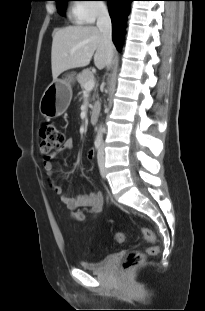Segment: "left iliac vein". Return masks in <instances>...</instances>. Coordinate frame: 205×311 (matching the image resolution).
<instances>
[{"mask_svg": "<svg viewBox=\"0 0 205 311\" xmlns=\"http://www.w3.org/2000/svg\"><path fill=\"white\" fill-rule=\"evenodd\" d=\"M98 166H99L101 175L104 176L105 175V153H104L103 144H101L100 150L98 153Z\"/></svg>", "mask_w": 205, "mask_h": 311, "instance_id": "obj_1", "label": "left iliac vein"}]
</instances>
